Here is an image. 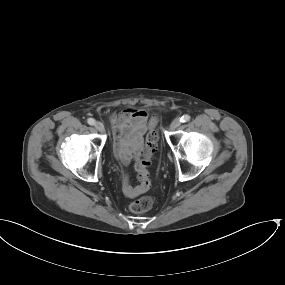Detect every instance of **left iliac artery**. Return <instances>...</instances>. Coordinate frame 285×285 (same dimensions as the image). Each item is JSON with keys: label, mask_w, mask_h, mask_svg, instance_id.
Masks as SVG:
<instances>
[{"label": "left iliac artery", "mask_w": 285, "mask_h": 285, "mask_svg": "<svg viewBox=\"0 0 285 285\" xmlns=\"http://www.w3.org/2000/svg\"><path fill=\"white\" fill-rule=\"evenodd\" d=\"M189 120H190V116L187 115V114L183 115V116L181 117V119H180V121H181L182 123L188 122Z\"/></svg>", "instance_id": "44dca946"}]
</instances>
